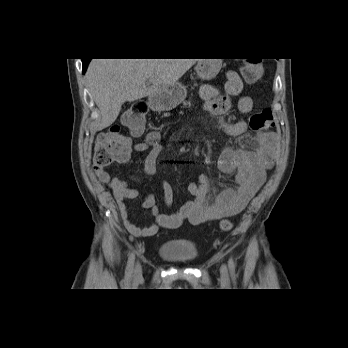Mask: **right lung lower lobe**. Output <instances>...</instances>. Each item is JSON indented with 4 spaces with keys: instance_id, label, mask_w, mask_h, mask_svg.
I'll return each mask as SVG.
<instances>
[{
    "instance_id": "obj_1",
    "label": "right lung lower lobe",
    "mask_w": 348,
    "mask_h": 348,
    "mask_svg": "<svg viewBox=\"0 0 348 348\" xmlns=\"http://www.w3.org/2000/svg\"><path fill=\"white\" fill-rule=\"evenodd\" d=\"M91 59H82V63H83V73L85 72L88 63L90 62Z\"/></svg>"
}]
</instances>
